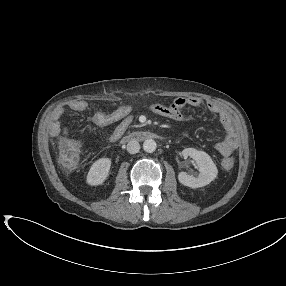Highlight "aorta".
Wrapping results in <instances>:
<instances>
[{
    "mask_svg": "<svg viewBox=\"0 0 286 286\" xmlns=\"http://www.w3.org/2000/svg\"><path fill=\"white\" fill-rule=\"evenodd\" d=\"M157 148V144L153 139H147L143 143V149L147 153H153Z\"/></svg>",
    "mask_w": 286,
    "mask_h": 286,
    "instance_id": "1",
    "label": "aorta"
}]
</instances>
